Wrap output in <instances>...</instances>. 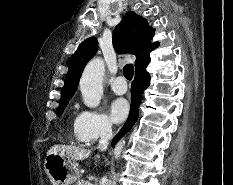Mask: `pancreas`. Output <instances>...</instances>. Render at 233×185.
I'll list each match as a JSON object with an SVG mask.
<instances>
[{
    "label": "pancreas",
    "mask_w": 233,
    "mask_h": 185,
    "mask_svg": "<svg viewBox=\"0 0 233 185\" xmlns=\"http://www.w3.org/2000/svg\"><path fill=\"white\" fill-rule=\"evenodd\" d=\"M88 181L86 180H78L76 185H87Z\"/></svg>",
    "instance_id": "pancreas-1"
}]
</instances>
